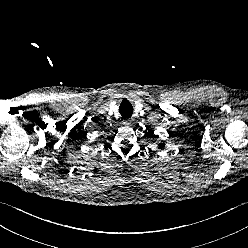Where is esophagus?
<instances>
[{
    "label": "esophagus",
    "mask_w": 248,
    "mask_h": 248,
    "mask_svg": "<svg viewBox=\"0 0 248 248\" xmlns=\"http://www.w3.org/2000/svg\"><path fill=\"white\" fill-rule=\"evenodd\" d=\"M125 125H131V119H125L123 122Z\"/></svg>",
    "instance_id": "obj_1"
}]
</instances>
